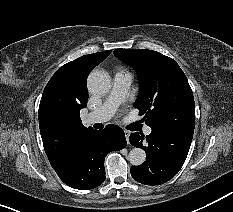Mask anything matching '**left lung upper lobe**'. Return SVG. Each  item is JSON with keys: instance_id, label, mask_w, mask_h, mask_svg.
<instances>
[{"instance_id": "1", "label": "left lung upper lobe", "mask_w": 233, "mask_h": 212, "mask_svg": "<svg viewBox=\"0 0 233 212\" xmlns=\"http://www.w3.org/2000/svg\"><path fill=\"white\" fill-rule=\"evenodd\" d=\"M114 54L139 76L134 107L153 131L194 133V98L188 80L170 57L152 50L116 49Z\"/></svg>"}]
</instances>
